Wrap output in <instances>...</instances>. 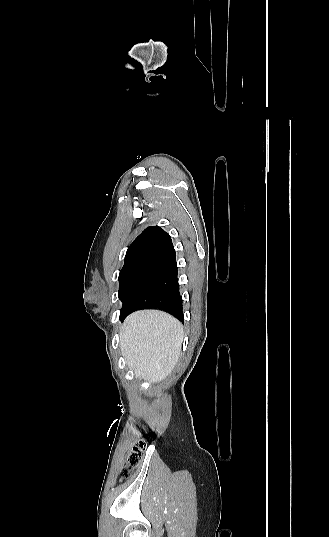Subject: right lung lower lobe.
<instances>
[{"mask_svg": "<svg viewBox=\"0 0 329 537\" xmlns=\"http://www.w3.org/2000/svg\"><path fill=\"white\" fill-rule=\"evenodd\" d=\"M175 250L149 263L137 276L123 300L120 320L133 311L159 308L183 321Z\"/></svg>", "mask_w": 329, "mask_h": 537, "instance_id": "obj_1", "label": "right lung lower lobe"}]
</instances>
